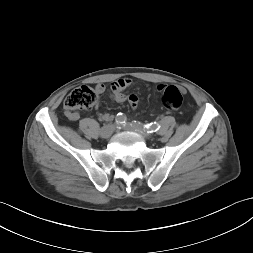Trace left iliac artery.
<instances>
[{"mask_svg": "<svg viewBox=\"0 0 253 253\" xmlns=\"http://www.w3.org/2000/svg\"><path fill=\"white\" fill-rule=\"evenodd\" d=\"M140 124L137 121H133L131 125H138ZM144 129H146L147 132L152 133L156 132L160 129V125L157 122L149 123L143 126Z\"/></svg>", "mask_w": 253, "mask_h": 253, "instance_id": "obj_1", "label": "left iliac artery"}]
</instances>
